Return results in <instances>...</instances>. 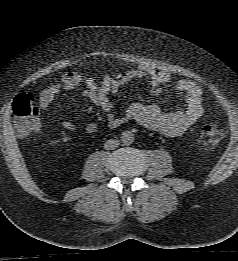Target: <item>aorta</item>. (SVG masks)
Wrapping results in <instances>:
<instances>
[{
  "label": "aorta",
  "mask_w": 238,
  "mask_h": 261,
  "mask_svg": "<svg viewBox=\"0 0 238 261\" xmlns=\"http://www.w3.org/2000/svg\"><path fill=\"white\" fill-rule=\"evenodd\" d=\"M121 141L125 145H129L134 142V134L131 131H124L121 135Z\"/></svg>",
  "instance_id": "762f6f07"
}]
</instances>
